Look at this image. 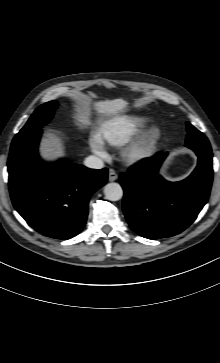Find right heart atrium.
Instances as JSON below:
<instances>
[{
    "label": "right heart atrium",
    "instance_id": "1",
    "mask_svg": "<svg viewBox=\"0 0 220 363\" xmlns=\"http://www.w3.org/2000/svg\"><path fill=\"white\" fill-rule=\"evenodd\" d=\"M89 146L91 150L99 156L105 157L107 154L106 148L103 142L97 136H92L89 139Z\"/></svg>",
    "mask_w": 220,
    "mask_h": 363
}]
</instances>
